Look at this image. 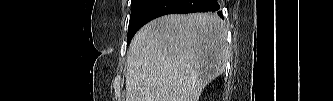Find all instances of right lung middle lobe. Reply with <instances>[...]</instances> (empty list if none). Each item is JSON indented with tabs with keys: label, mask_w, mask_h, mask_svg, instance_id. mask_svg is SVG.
I'll list each match as a JSON object with an SVG mask.
<instances>
[{
	"label": "right lung middle lobe",
	"mask_w": 333,
	"mask_h": 101,
	"mask_svg": "<svg viewBox=\"0 0 333 101\" xmlns=\"http://www.w3.org/2000/svg\"><path fill=\"white\" fill-rule=\"evenodd\" d=\"M143 0H132L131 1V16H130V22H129V28H128V38H127V44L131 41L133 37V30H132V20L137 12L140 4L142 3Z\"/></svg>",
	"instance_id": "1"
}]
</instances>
